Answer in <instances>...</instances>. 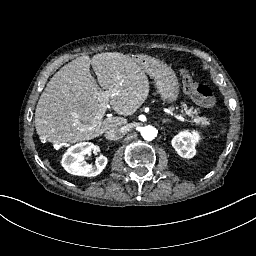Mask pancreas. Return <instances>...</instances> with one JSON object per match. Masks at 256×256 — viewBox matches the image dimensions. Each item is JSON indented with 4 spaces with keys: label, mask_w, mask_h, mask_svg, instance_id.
<instances>
[{
    "label": "pancreas",
    "mask_w": 256,
    "mask_h": 256,
    "mask_svg": "<svg viewBox=\"0 0 256 256\" xmlns=\"http://www.w3.org/2000/svg\"><path fill=\"white\" fill-rule=\"evenodd\" d=\"M183 106L187 110L186 104H183ZM187 115L188 116L192 115V110L191 109L187 110ZM193 123L196 124V125H200L201 128H205V127L211 125L210 119H208L204 116H199V115H197L193 118Z\"/></svg>",
    "instance_id": "pancreas-1"
}]
</instances>
